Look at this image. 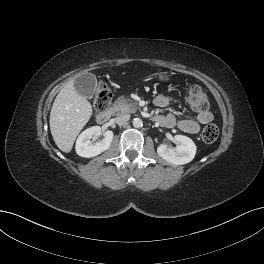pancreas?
<instances>
[{"label":"pancreas","instance_id":"1","mask_svg":"<svg viewBox=\"0 0 264 264\" xmlns=\"http://www.w3.org/2000/svg\"><path fill=\"white\" fill-rule=\"evenodd\" d=\"M113 109L117 115L124 113H134L137 110V103L131 100L119 97L113 104Z\"/></svg>","mask_w":264,"mask_h":264}]
</instances>
